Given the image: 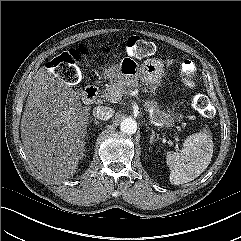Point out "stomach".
Wrapping results in <instances>:
<instances>
[{"mask_svg":"<svg viewBox=\"0 0 241 241\" xmlns=\"http://www.w3.org/2000/svg\"><path fill=\"white\" fill-rule=\"evenodd\" d=\"M164 76L163 64L156 59H147L143 64L139 65L136 61L124 59L117 71L116 80L124 88L136 87L138 82L155 91L160 86Z\"/></svg>","mask_w":241,"mask_h":241,"instance_id":"0dacf381","label":"stomach"}]
</instances>
